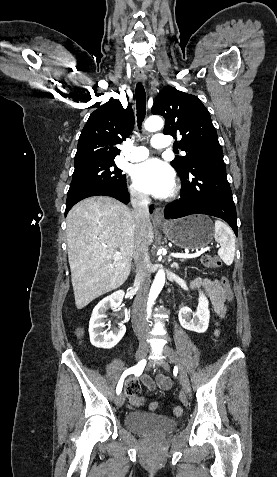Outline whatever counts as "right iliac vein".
<instances>
[{
	"mask_svg": "<svg viewBox=\"0 0 277 477\" xmlns=\"http://www.w3.org/2000/svg\"><path fill=\"white\" fill-rule=\"evenodd\" d=\"M147 352H148V345L145 342H141L136 352V356H135L136 360H141L145 358V356L147 355ZM124 401H125L124 393H120L115 399V404L118 407H121L124 404Z\"/></svg>",
	"mask_w": 277,
	"mask_h": 477,
	"instance_id": "63e3f726",
	"label": "right iliac vein"
}]
</instances>
